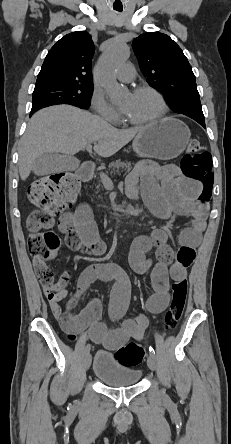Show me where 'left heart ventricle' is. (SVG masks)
Segmentation results:
<instances>
[{
  "instance_id": "b2bd125f",
  "label": "left heart ventricle",
  "mask_w": 231,
  "mask_h": 444,
  "mask_svg": "<svg viewBox=\"0 0 231 444\" xmlns=\"http://www.w3.org/2000/svg\"><path fill=\"white\" fill-rule=\"evenodd\" d=\"M125 115L136 121H143L157 116L161 111V105L156 96L149 92L128 94L123 99Z\"/></svg>"
}]
</instances>
